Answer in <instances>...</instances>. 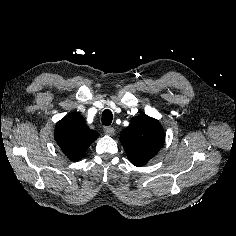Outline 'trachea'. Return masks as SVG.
<instances>
[{
	"label": "trachea",
	"instance_id": "obj_1",
	"mask_svg": "<svg viewBox=\"0 0 236 236\" xmlns=\"http://www.w3.org/2000/svg\"><path fill=\"white\" fill-rule=\"evenodd\" d=\"M113 114L110 110L106 109L102 113V124L109 126L112 122Z\"/></svg>",
	"mask_w": 236,
	"mask_h": 236
}]
</instances>
